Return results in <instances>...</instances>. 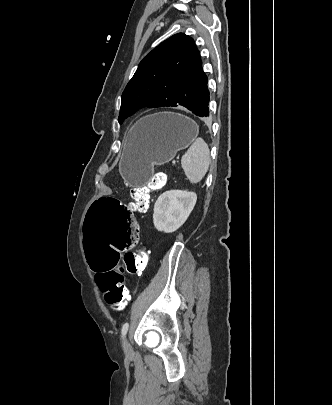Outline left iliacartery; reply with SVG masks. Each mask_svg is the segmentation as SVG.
<instances>
[{
	"label": "left iliac artery",
	"instance_id": "obj_1",
	"mask_svg": "<svg viewBox=\"0 0 332 405\" xmlns=\"http://www.w3.org/2000/svg\"><path fill=\"white\" fill-rule=\"evenodd\" d=\"M128 327H129V323H125V324L122 326V329H121V335H122V337H125V335H126V333H127V331H128Z\"/></svg>",
	"mask_w": 332,
	"mask_h": 405
}]
</instances>
